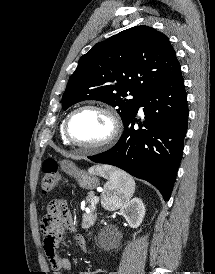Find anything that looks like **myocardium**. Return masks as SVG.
<instances>
[{"label": "myocardium", "instance_id": "f54148a6", "mask_svg": "<svg viewBox=\"0 0 215 274\" xmlns=\"http://www.w3.org/2000/svg\"><path fill=\"white\" fill-rule=\"evenodd\" d=\"M84 110L99 111L108 117L110 124H111V130H110L109 135L106 138H104L103 140H101L97 143H93V144H83V143L77 142L76 140L73 139V137L70 134V123H71L73 117L77 113L84 111ZM121 130H122V123H121V119H120L119 115L117 114V112L114 109H112L111 107L101 105V104H85V105L77 107L76 109H74L73 111H71L68 114V116L66 117V119L64 121V125H63L64 136L69 144L79 147V148H82V149L92 150V151L102 150L104 148H107L111 144H113L119 138V136L121 134Z\"/></svg>", "mask_w": 215, "mask_h": 274}]
</instances>
